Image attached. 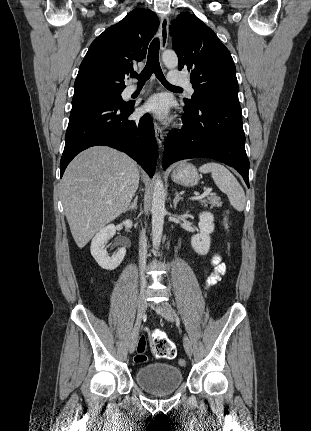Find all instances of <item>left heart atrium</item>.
<instances>
[{
    "mask_svg": "<svg viewBox=\"0 0 311 431\" xmlns=\"http://www.w3.org/2000/svg\"><path fill=\"white\" fill-rule=\"evenodd\" d=\"M170 111V99L164 93L153 94L145 99L141 113L156 119H164Z\"/></svg>",
    "mask_w": 311,
    "mask_h": 431,
    "instance_id": "obj_1",
    "label": "left heart atrium"
}]
</instances>
